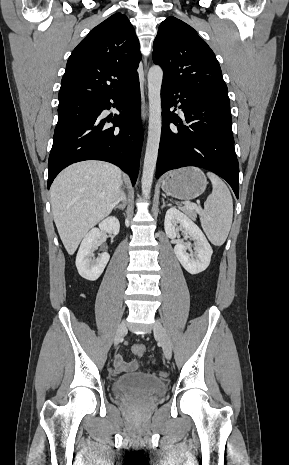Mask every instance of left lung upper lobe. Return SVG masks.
Instances as JSON below:
<instances>
[{"instance_id": "left-lung-upper-lobe-1", "label": "left lung upper lobe", "mask_w": 289, "mask_h": 465, "mask_svg": "<svg viewBox=\"0 0 289 465\" xmlns=\"http://www.w3.org/2000/svg\"><path fill=\"white\" fill-rule=\"evenodd\" d=\"M152 58L164 70V84L230 102L213 51L185 22L168 17L161 23L154 40Z\"/></svg>"}]
</instances>
